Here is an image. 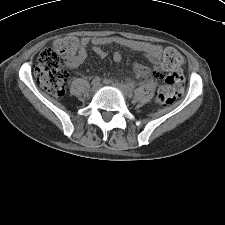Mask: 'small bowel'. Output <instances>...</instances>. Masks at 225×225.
I'll use <instances>...</instances> for the list:
<instances>
[{
    "label": "small bowel",
    "instance_id": "c3829d8e",
    "mask_svg": "<svg viewBox=\"0 0 225 225\" xmlns=\"http://www.w3.org/2000/svg\"><path fill=\"white\" fill-rule=\"evenodd\" d=\"M111 42V39L109 38H88L84 37L80 40V46L78 50V54L75 58V60L68 64V66L72 69L77 68L82 63H84L86 57H87V46L89 43L94 44L93 51L94 53L101 59L105 58L107 56V53L104 49H102L100 46L104 44H108ZM137 51L142 52L147 59L152 64H157L160 61V55H161V48L156 44L151 43H144L136 48ZM113 60L116 64H120L122 61V55L120 52H115L113 54ZM135 73L138 77H144L147 74V68L143 64H136L134 66Z\"/></svg>",
    "mask_w": 225,
    "mask_h": 225
}]
</instances>
